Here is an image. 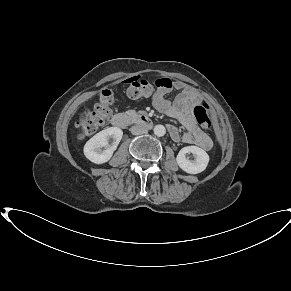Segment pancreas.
Instances as JSON below:
<instances>
[{"instance_id": "cf45deb5", "label": "pancreas", "mask_w": 291, "mask_h": 291, "mask_svg": "<svg viewBox=\"0 0 291 291\" xmlns=\"http://www.w3.org/2000/svg\"><path fill=\"white\" fill-rule=\"evenodd\" d=\"M143 112H135L134 110H128L125 114L130 117L133 121L136 120Z\"/></svg>"}]
</instances>
